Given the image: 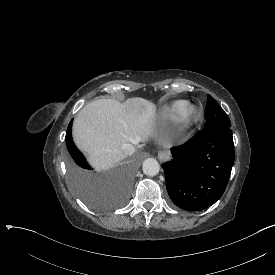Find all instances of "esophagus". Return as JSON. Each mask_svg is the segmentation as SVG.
I'll list each match as a JSON object with an SVG mask.
<instances>
[{
  "instance_id": "esophagus-1",
  "label": "esophagus",
  "mask_w": 275,
  "mask_h": 275,
  "mask_svg": "<svg viewBox=\"0 0 275 275\" xmlns=\"http://www.w3.org/2000/svg\"><path fill=\"white\" fill-rule=\"evenodd\" d=\"M146 156H148V154L147 153H144V157H146ZM160 156V155H159Z\"/></svg>"
}]
</instances>
